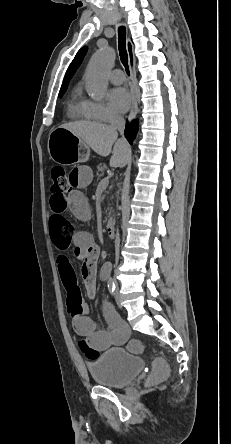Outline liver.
I'll use <instances>...</instances> for the list:
<instances>
[{"instance_id": "1", "label": "liver", "mask_w": 231, "mask_h": 444, "mask_svg": "<svg viewBox=\"0 0 231 444\" xmlns=\"http://www.w3.org/2000/svg\"><path fill=\"white\" fill-rule=\"evenodd\" d=\"M79 137L97 154L106 157L112 152L111 167H123L130 157V146L124 139H118V134L110 126L97 122L78 121L61 125ZM113 151H112V146Z\"/></svg>"}]
</instances>
